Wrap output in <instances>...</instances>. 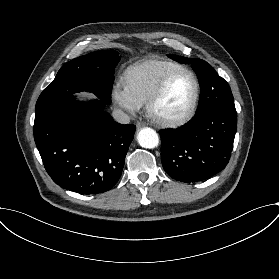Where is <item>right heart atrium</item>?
I'll list each match as a JSON object with an SVG mask.
<instances>
[{
    "instance_id": "right-heart-atrium-1",
    "label": "right heart atrium",
    "mask_w": 279,
    "mask_h": 279,
    "mask_svg": "<svg viewBox=\"0 0 279 279\" xmlns=\"http://www.w3.org/2000/svg\"><path fill=\"white\" fill-rule=\"evenodd\" d=\"M112 101L130 114L139 112L145 105V101L133 93L126 84H116L111 89Z\"/></svg>"
}]
</instances>
